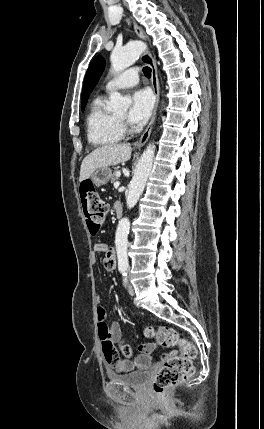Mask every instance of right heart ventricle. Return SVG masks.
<instances>
[{
  "instance_id": "right-heart-ventricle-1",
  "label": "right heart ventricle",
  "mask_w": 264,
  "mask_h": 429,
  "mask_svg": "<svg viewBox=\"0 0 264 429\" xmlns=\"http://www.w3.org/2000/svg\"><path fill=\"white\" fill-rule=\"evenodd\" d=\"M87 137L95 146H110L123 138V128L105 107V98L93 100L86 120Z\"/></svg>"
}]
</instances>
